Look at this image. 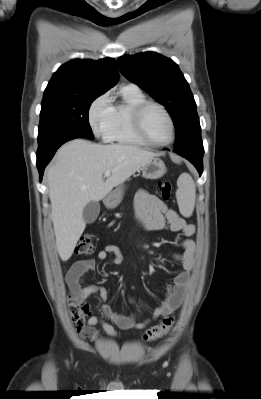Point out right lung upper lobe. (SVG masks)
I'll return each mask as SVG.
<instances>
[{"label": "right lung upper lobe", "instance_id": "right-lung-upper-lobe-1", "mask_svg": "<svg viewBox=\"0 0 261 399\" xmlns=\"http://www.w3.org/2000/svg\"><path fill=\"white\" fill-rule=\"evenodd\" d=\"M118 81L114 59H75L60 66L49 81L47 96H100Z\"/></svg>", "mask_w": 261, "mask_h": 399}]
</instances>
